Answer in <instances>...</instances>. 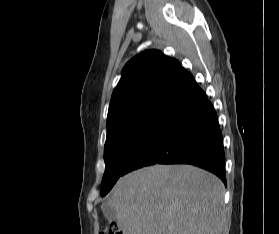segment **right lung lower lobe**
<instances>
[{
    "instance_id": "98d812e1",
    "label": "right lung lower lobe",
    "mask_w": 279,
    "mask_h": 234,
    "mask_svg": "<svg viewBox=\"0 0 279 234\" xmlns=\"http://www.w3.org/2000/svg\"><path fill=\"white\" fill-rule=\"evenodd\" d=\"M191 164L226 185L223 137L213 105L195 84L175 102L127 162L123 175L153 164Z\"/></svg>"
}]
</instances>
